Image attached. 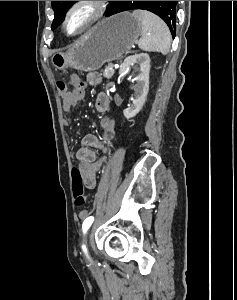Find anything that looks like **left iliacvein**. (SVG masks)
<instances>
[{"mask_svg": "<svg viewBox=\"0 0 237 300\" xmlns=\"http://www.w3.org/2000/svg\"><path fill=\"white\" fill-rule=\"evenodd\" d=\"M90 236H91V233L86 235L83 239V243L87 246V248H88V242H89Z\"/></svg>", "mask_w": 237, "mask_h": 300, "instance_id": "4c4485c4", "label": "left iliac vein"}]
</instances>
